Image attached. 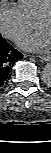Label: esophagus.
Returning a JSON list of instances; mask_svg holds the SVG:
<instances>
[{
    "mask_svg": "<svg viewBox=\"0 0 51 153\" xmlns=\"http://www.w3.org/2000/svg\"><path fill=\"white\" fill-rule=\"evenodd\" d=\"M51 60V56L50 55H41L40 56V61L41 62H47Z\"/></svg>",
    "mask_w": 51,
    "mask_h": 153,
    "instance_id": "1",
    "label": "esophagus"
}]
</instances>
